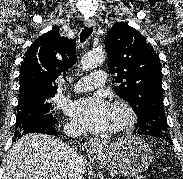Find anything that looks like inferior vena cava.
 <instances>
[{"instance_id": "obj_1", "label": "inferior vena cava", "mask_w": 183, "mask_h": 179, "mask_svg": "<svg viewBox=\"0 0 183 179\" xmlns=\"http://www.w3.org/2000/svg\"><path fill=\"white\" fill-rule=\"evenodd\" d=\"M66 134L71 137H78L81 134L80 129L70 128L66 131ZM68 179H84L82 160L74 152L72 153L67 164Z\"/></svg>"}]
</instances>
